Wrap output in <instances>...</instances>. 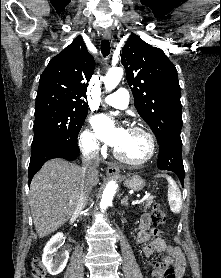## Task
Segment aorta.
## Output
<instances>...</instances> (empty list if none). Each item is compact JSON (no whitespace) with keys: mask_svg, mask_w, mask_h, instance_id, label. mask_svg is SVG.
<instances>
[{"mask_svg":"<svg viewBox=\"0 0 221 278\" xmlns=\"http://www.w3.org/2000/svg\"><path fill=\"white\" fill-rule=\"evenodd\" d=\"M123 76V69L121 67L110 68L104 78V86L107 91H111L117 87ZM117 183L110 181L102 194L100 201V208L105 210L109 205L112 204L113 197L115 195Z\"/></svg>","mask_w":221,"mask_h":278,"instance_id":"1","label":"aorta"}]
</instances>
